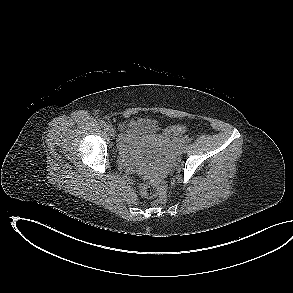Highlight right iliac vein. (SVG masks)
Instances as JSON below:
<instances>
[{"label":"right iliac vein","mask_w":293,"mask_h":293,"mask_svg":"<svg viewBox=\"0 0 293 293\" xmlns=\"http://www.w3.org/2000/svg\"><path fill=\"white\" fill-rule=\"evenodd\" d=\"M106 130H107V132L109 133L110 136H114L115 135V131L112 128V126H110V125L106 126Z\"/></svg>","instance_id":"63e3f726"}]
</instances>
